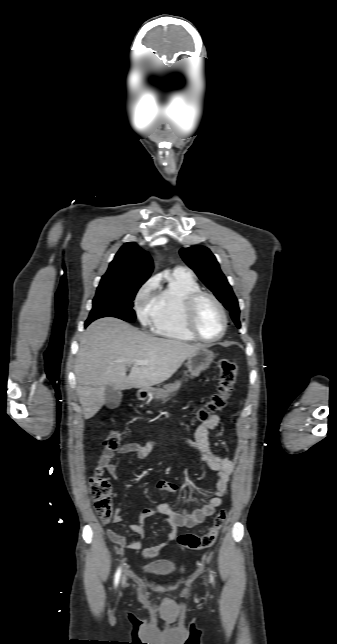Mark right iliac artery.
Instances as JSON below:
<instances>
[{
	"mask_svg": "<svg viewBox=\"0 0 337 644\" xmlns=\"http://www.w3.org/2000/svg\"><path fill=\"white\" fill-rule=\"evenodd\" d=\"M120 575H121V569L119 568V569L117 570L116 574H115V581H114V582H115V585H117V584H118L119 579H120Z\"/></svg>",
	"mask_w": 337,
	"mask_h": 644,
	"instance_id": "1",
	"label": "right iliac artery"
}]
</instances>
